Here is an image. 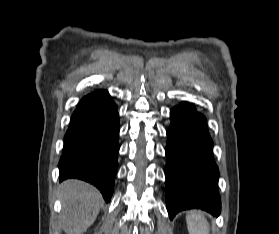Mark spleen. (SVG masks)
<instances>
[{"mask_svg":"<svg viewBox=\"0 0 279 234\" xmlns=\"http://www.w3.org/2000/svg\"><path fill=\"white\" fill-rule=\"evenodd\" d=\"M186 222L189 234H209L208 222L201 211H191L186 217Z\"/></svg>","mask_w":279,"mask_h":234,"instance_id":"1","label":"spleen"}]
</instances>
